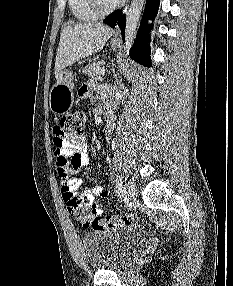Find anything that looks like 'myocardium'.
<instances>
[{
  "instance_id": "f54148a6",
  "label": "myocardium",
  "mask_w": 233,
  "mask_h": 286,
  "mask_svg": "<svg viewBox=\"0 0 233 286\" xmlns=\"http://www.w3.org/2000/svg\"><path fill=\"white\" fill-rule=\"evenodd\" d=\"M92 9L98 14V16L107 15L116 10L121 2L114 3L110 6H104L101 0H89Z\"/></svg>"
}]
</instances>
